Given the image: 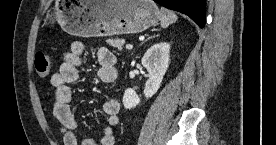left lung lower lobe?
Segmentation results:
<instances>
[{
  "label": "left lung lower lobe",
  "mask_w": 276,
  "mask_h": 145,
  "mask_svg": "<svg viewBox=\"0 0 276 145\" xmlns=\"http://www.w3.org/2000/svg\"><path fill=\"white\" fill-rule=\"evenodd\" d=\"M169 9L184 13L201 28L206 20V0H154Z\"/></svg>",
  "instance_id": "1"
}]
</instances>
